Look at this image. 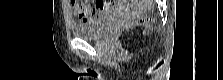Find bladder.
<instances>
[{
    "instance_id": "1",
    "label": "bladder",
    "mask_w": 223,
    "mask_h": 80,
    "mask_svg": "<svg viewBox=\"0 0 223 80\" xmlns=\"http://www.w3.org/2000/svg\"><path fill=\"white\" fill-rule=\"evenodd\" d=\"M111 13L105 12L98 17L80 23H73L71 31L75 37L84 40H94L102 33Z\"/></svg>"
}]
</instances>
